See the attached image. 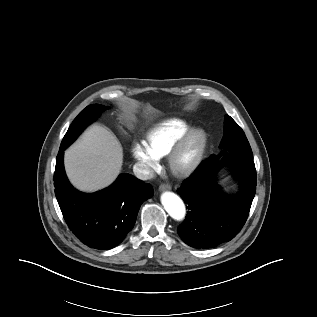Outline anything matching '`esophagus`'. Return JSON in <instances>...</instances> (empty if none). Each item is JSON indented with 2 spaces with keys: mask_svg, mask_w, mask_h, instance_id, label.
<instances>
[{
  "mask_svg": "<svg viewBox=\"0 0 317 317\" xmlns=\"http://www.w3.org/2000/svg\"><path fill=\"white\" fill-rule=\"evenodd\" d=\"M160 191L171 190V186L169 184L163 183L159 187Z\"/></svg>",
  "mask_w": 317,
  "mask_h": 317,
  "instance_id": "obj_1",
  "label": "esophagus"
}]
</instances>
